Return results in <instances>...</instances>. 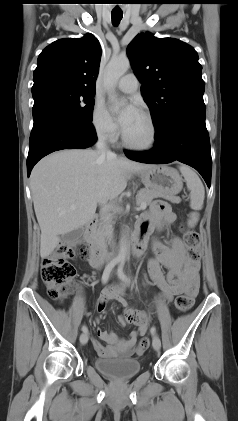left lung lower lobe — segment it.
Listing matches in <instances>:
<instances>
[{"mask_svg":"<svg viewBox=\"0 0 238 421\" xmlns=\"http://www.w3.org/2000/svg\"><path fill=\"white\" fill-rule=\"evenodd\" d=\"M125 154L131 160L148 164L180 161L195 168L210 187L212 160L205 108H192L176 114L156 133L151 151H125Z\"/></svg>","mask_w":238,"mask_h":421,"instance_id":"0a47b994","label":"left lung lower lobe"}]
</instances>
